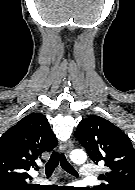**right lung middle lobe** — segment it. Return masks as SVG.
<instances>
[{"instance_id":"dd1d6c3e","label":"right lung middle lobe","mask_w":135,"mask_h":190,"mask_svg":"<svg viewBox=\"0 0 135 190\" xmlns=\"http://www.w3.org/2000/svg\"><path fill=\"white\" fill-rule=\"evenodd\" d=\"M0 190H34V187L23 183H0Z\"/></svg>"}]
</instances>
